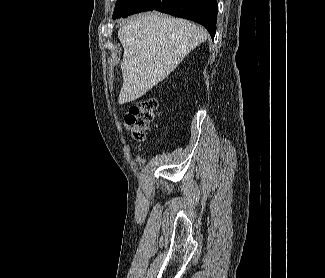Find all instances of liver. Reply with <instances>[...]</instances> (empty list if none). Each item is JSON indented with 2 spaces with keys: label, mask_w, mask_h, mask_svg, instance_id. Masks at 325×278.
<instances>
[{
  "label": "liver",
  "mask_w": 325,
  "mask_h": 278,
  "mask_svg": "<svg viewBox=\"0 0 325 278\" xmlns=\"http://www.w3.org/2000/svg\"><path fill=\"white\" fill-rule=\"evenodd\" d=\"M118 37L124 49L118 102L125 104L165 79L207 34L187 20L147 13L129 19Z\"/></svg>",
  "instance_id": "liver-1"
}]
</instances>
